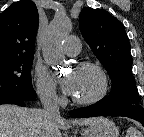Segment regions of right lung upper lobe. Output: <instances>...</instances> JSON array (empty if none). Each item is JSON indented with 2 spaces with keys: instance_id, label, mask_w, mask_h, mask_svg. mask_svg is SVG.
<instances>
[{
  "instance_id": "1",
  "label": "right lung upper lobe",
  "mask_w": 144,
  "mask_h": 137,
  "mask_svg": "<svg viewBox=\"0 0 144 137\" xmlns=\"http://www.w3.org/2000/svg\"><path fill=\"white\" fill-rule=\"evenodd\" d=\"M38 24L37 7L31 0L18 1L0 14V63L34 56Z\"/></svg>"
}]
</instances>
